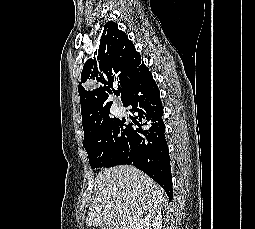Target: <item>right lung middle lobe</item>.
I'll list each match as a JSON object with an SVG mask.
<instances>
[{
    "label": "right lung middle lobe",
    "instance_id": "obj_1",
    "mask_svg": "<svg viewBox=\"0 0 255 229\" xmlns=\"http://www.w3.org/2000/svg\"><path fill=\"white\" fill-rule=\"evenodd\" d=\"M92 168L112 167L133 155V139L129 125L117 118H109L103 122L83 142Z\"/></svg>",
    "mask_w": 255,
    "mask_h": 229
}]
</instances>
